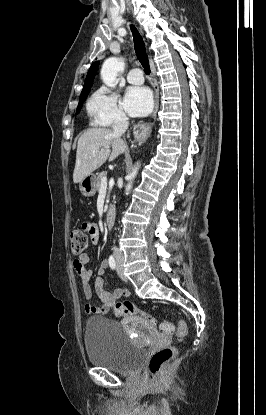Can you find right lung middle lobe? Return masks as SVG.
Here are the masks:
<instances>
[{
	"instance_id": "1",
	"label": "right lung middle lobe",
	"mask_w": 266,
	"mask_h": 415,
	"mask_svg": "<svg viewBox=\"0 0 266 415\" xmlns=\"http://www.w3.org/2000/svg\"><path fill=\"white\" fill-rule=\"evenodd\" d=\"M86 97H87V95H85V96H83V97H80V99H79V104H78V107H77V113H78V112H79V110L81 109V107H82V103L85 101Z\"/></svg>"
}]
</instances>
